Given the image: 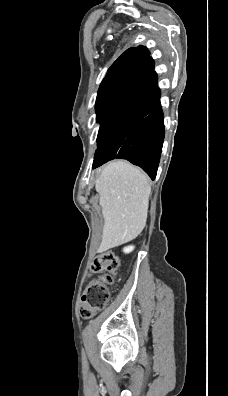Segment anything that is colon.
I'll return each instance as SVG.
<instances>
[{
    "label": "colon",
    "mask_w": 228,
    "mask_h": 396,
    "mask_svg": "<svg viewBox=\"0 0 228 396\" xmlns=\"http://www.w3.org/2000/svg\"><path fill=\"white\" fill-rule=\"evenodd\" d=\"M119 267L120 259L112 252L101 253L94 258L90 266V272L100 273L104 271L105 273L92 280L84 290L80 307L82 318L93 317L108 304L111 296L109 286L113 284Z\"/></svg>",
    "instance_id": "obj_1"
}]
</instances>
